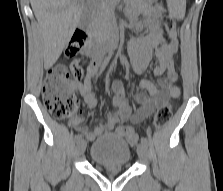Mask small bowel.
<instances>
[{
	"label": "small bowel",
	"mask_w": 223,
	"mask_h": 191,
	"mask_svg": "<svg viewBox=\"0 0 223 191\" xmlns=\"http://www.w3.org/2000/svg\"><path fill=\"white\" fill-rule=\"evenodd\" d=\"M148 17L140 24V28H147L148 33L138 39H134L130 43L131 64L136 74H141L147 70L149 61L152 56L157 59V64L153 69V74L156 77H161L166 74V78L159 79L160 89L148 80L142 79L139 82V87L145 90L149 97L144 94L138 95V102L140 108L133 113L132 107L125 96L123 85L120 81H114L112 90L114 93L113 103L115 111L109 113L105 121L100 122L99 126L94 130H89L83 126L85 118L83 116H76L72 119V127L79 133L85 136L86 139L92 141L97 137L103 135L105 132L111 131L115 126L122 124L128 120L139 124L142 123L162 102L168 98H178L180 95L179 88L174 85L177 79L175 70L168 72L166 69V56L174 57L177 48L176 40L170 43V51L167 55L163 54L158 49L159 45L164 41V33L161 28L160 17L161 10L157 7L147 8ZM104 57L95 56L89 63L86 69V75L80 82L73 83V89L78 92L88 108L93 109L97 105L95 93L91 88V81L96 76L100 65L103 63Z\"/></svg>",
	"instance_id": "obj_1"
}]
</instances>
